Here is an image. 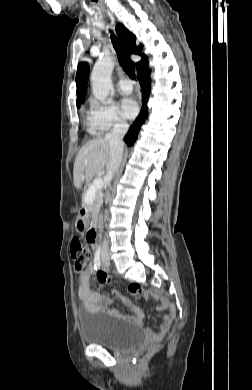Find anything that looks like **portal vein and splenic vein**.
Listing matches in <instances>:
<instances>
[{
  "mask_svg": "<svg viewBox=\"0 0 252 390\" xmlns=\"http://www.w3.org/2000/svg\"><path fill=\"white\" fill-rule=\"evenodd\" d=\"M102 187H103V180L101 178L95 179L86 193L85 201L89 202L92 199V197L95 195L97 190L102 189Z\"/></svg>",
  "mask_w": 252,
  "mask_h": 390,
  "instance_id": "1",
  "label": "portal vein and splenic vein"
}]
</instances>
